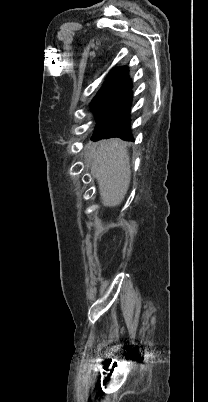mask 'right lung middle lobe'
Segmentation results:
<instances>
[{
	"label": "right lung middle lobe",
	"mask_w": 208,
	"mask_h": 402,
	"mask_svg": "<svg viewBox=\"0 0 208 402\" xmlns=\"http://www.w3.org/2000/svg\"><path fill=\"white\" fill-rule=\"evenodd\" d=\"M122 103L123 100L119 91L104 90L93 98L91 108L97 119L116 123L122 111Z\"/></svg>",
	"instance_id": "right-lung-middle-lobe-1"
}]
</instances>
